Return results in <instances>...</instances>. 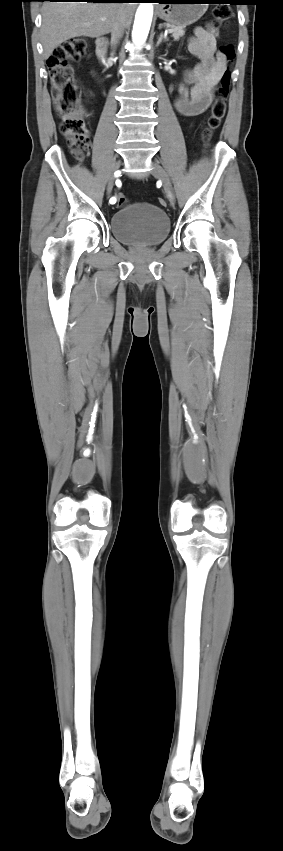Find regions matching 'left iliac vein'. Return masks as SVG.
Wrapping results in <instances>:
<instances>
[{
    "instance_id": "left-iliac-vein-1",
    "label": "left iliac vein",
    "mask_w": 283,
    "mask_h": 851,
    "mask_svg": "<svg viewBox=\"0 0 283 851\" xmlns=\"http://www.w3.org/2000/svg\"><path fill=\"white\" fill-rule=\"evenodd\" d=\"M151 172H152L153 176H155L156 178H158L162 182L163 188H164L165 192L167 193V195L169 197L170 203H171L172 206H174V204H175L174 192H173L172 184L170 182V179H169L166 171L163 169V167L158 162H153Z\"/></svg>"
}]
</instances>
